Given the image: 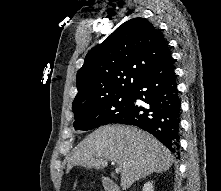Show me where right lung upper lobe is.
I'll list each match as a JSON object with an SVG mask.
<instances>
[{"label": "right lung upper lobe", "mask_w": 221, "mask_h": 191, "mask_svg": "<svg viewBox=\"0 0 221 191\" xmlns=\"http://www.w3.org/2000/svg\"><path fill=\"white\" fill-rule=\"evenodd\" d=\"M169 53L162 33L145 18L123 23L86 55L77 72L73 112L132 91Z\"/></svg>", "instance_id": "obj_1"}]
</instances>
